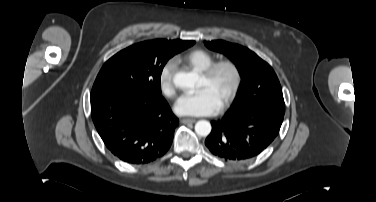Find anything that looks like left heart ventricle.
Segmentation results:
<instances>
[{"label":"left heart ventricle","mask_w":376,"mask_h":202,"mask_svg":"<svg viewBox=\"0 0 376 202\" xmlns=\"http://www.w3.org/2000/svg\"><path fill=\"white\" fill-rule=\"evenodd\" d=\"M232 82L233 76L231 71L227 68H223L218 71L211 81H207L201 77L199 87L209 88L221 105L231 88Z\"/></svg>","instance_id":"obj_1"}]
</instances>
